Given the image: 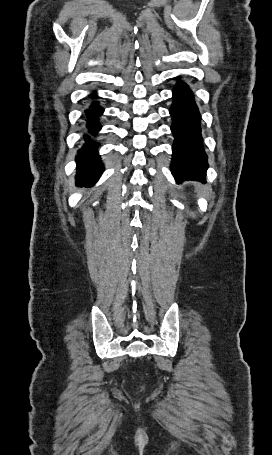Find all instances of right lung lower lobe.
Wrapping results in <instances>:
<instances>
[{
	"instance_id": "obj_1",
	"label": "right lung lower lobe",
	"mask_w": 272,
	"mask_h": 455,
	"mask_svg": "<svg viewBox=\"0 0 272 455\" xmlns=\"http://www.w3.org/2000/svg\"><path fill=\"white\" fill-rule=\"evenodd\" d=\"M102 113L103 108L97 103L92 104L86 110V117L88 119L87 128L93 134H96L101 129L97 119ZM96 147L97 143L90 140L88 136H85V144L78 151L76 157L78 164L76 179L81 186L96 183L103 172V164L100 162Z\"/></svg>"
}]
</instances>
